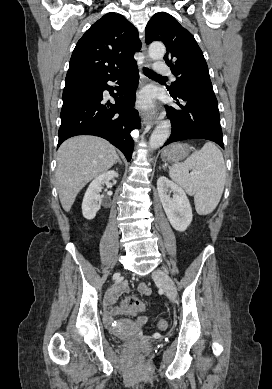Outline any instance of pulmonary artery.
<instances>
[{"label": "pulmonary artery", "mask_w": 272, "mask_h": 389, "mask_svg": "<svg viewBox=\"0 0 272 389\" xmlns=\"http://www.w3.org/2000/svg\"><path fill=\"white\" fill-rule=\"evenodd\" d=\"M154 68H155L156 73H158L160 75H168L172 79H174V75L171 73L170 68L168 67V65L164 61H162V60L157 61L154 65Z\"/></svg>", "instance_id": "1"}]
</instances>
